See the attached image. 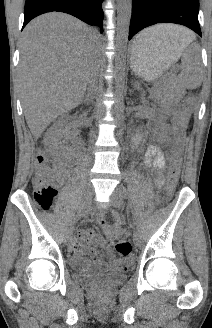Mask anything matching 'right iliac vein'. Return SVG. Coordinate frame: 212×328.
Instances as JSON below:
<instances>
[{
    "instance_id": "1",
    "label": "right iliac vein",
    "mask_w": 212,
    "mask_h": 328,
    "mask_svg": "<svg viewBox=\"0 0 212 328\" xmlns=\"http://www.w3.org/2000/svg\"><path fill=\"white\" fill-rule=\"evenodd\" d=\"M92 196H93V187L91 185H88L84 191L79 209L81 210H85L91 203L92 200ZM72 233H73V226H71L66 234V244H69L71 241V237H72Z\"/></svg>"
}]
</instances>
